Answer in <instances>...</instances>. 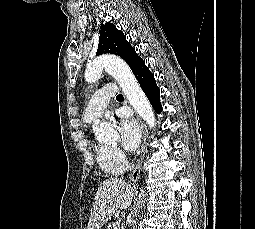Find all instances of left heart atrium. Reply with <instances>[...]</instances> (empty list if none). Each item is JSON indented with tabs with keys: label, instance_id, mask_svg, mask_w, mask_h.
Masks as SVG:
<instances>
[{
	"label": "left heart atrium",
	"instance_id": "39dd6f15",
	"mask_svg": "<svg viewBox=\"0 0 255 229\" xmlns=\"http://www.w3.org/2000/svg\"><path fill=\"white\" fill-rule=\"evenodd\" d=\"M117 129L123 148L127 151H134L138 147L141 138L136 122L127 116H121Z\"/></svg>",
	"mask_w": 255,
	"mask_h": 229
}]
</instances>
